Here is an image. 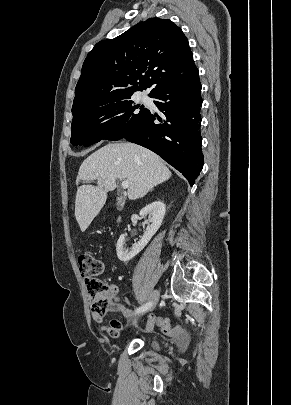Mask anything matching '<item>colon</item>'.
I'll use <instances>...</instances> for the list:
<instances>
[{"label":"colon","instance_id":"colon-1","mask_svg":"<svg viewBox=\"0 0 291 405\" xmlns=\"http://www.w3.org/2000/svg\"><path fill=\"white\" fill-rule=\"evenodd\" d=\"M78 265L90 298L92 314L105 315L111 303L108 297L110 286L100 278L104 270L102 261L90 253H83L78 257ZM150 317L165 335L170 337H182L184 335L183 329L180 326H172L168 318L159 315H151Z\"/></svg>","mask_w":291,"mask_h":405}]
</instances>
